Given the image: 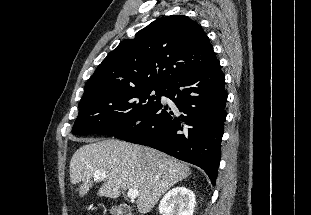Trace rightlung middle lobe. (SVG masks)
<instances>
[{"mask_svg": "<svg viewBox=\"0 0 311 215\" xmlns=\"http://www.w3.org/2000/svg\"><path fill=\"white\" fill-rule=\"evenodd\" d=\"M162 92V87H137L82 99L72 133L114 136L127 132L160 105Z\"/></svg>", "mask_w": 311, "mask_h": 215, "instance_id": "1", "label": "right lung middle lobe"}]
</instances>
